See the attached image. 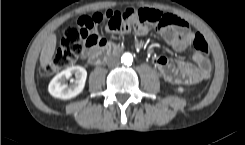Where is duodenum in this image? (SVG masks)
Instances as JSON below:
<instances>
[{"label": "duodenum", "mask_w": 245, "mask_h": 145, "mask_svg": "<svg viewBox=\"0 0 245 145\" xmlns=\"http://www.w3.org/2000/svg\"><path fill=\"white\" fill-rule=\"evenodd\" d=\"M118 51L119 47L107 43L102 47L94 49L90 54L88 61L91 65L97 66L116 54Z\"/></svg>", "instance_id": "410a0bca"}]
</instances>
